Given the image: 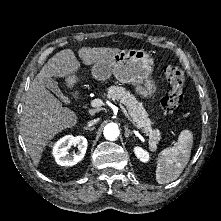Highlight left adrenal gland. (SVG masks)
Returning <instances> with one entry per match:
<instances>
[{"label": "left adrenal gland", "mask_w": 221, "mask_h": 221, "mask_svg": "<svg viewBox=\"0 0 221 221\" xmlns=\"http://www.w3.org/2000/svg\"><path fill=\"white\" fill-rule=\"evenodd\" d=\"M124 129H125V138L128 139L129 136H132L133 135V132L128 128L127 125L124 126Z\"/></svg>", "instance_id": "1"}]
</instances>
